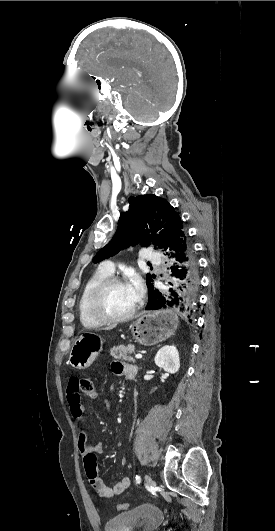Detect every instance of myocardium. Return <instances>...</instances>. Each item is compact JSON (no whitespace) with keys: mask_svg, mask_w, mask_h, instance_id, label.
Segmentation results:
<instances>
[{"mask_svg":"<svg viewBox=\"0 0 275 531\" xmlns=\"http://www.w3.org/2000/svg\"><path fill=\"white\" fill-rule=\"evenodd\" d=\"M125 281V278L123 276H117V275H109L106 278H104L101 282H99L95 288L90 293L88 299H87V312L93 319L101 322V323H120L129 320L133 315L136 313L138 309V305L140 302V299L138 298L134 304V306L131 308V310L122 316H111L107 313H105L100 306L101 299L106 292V290L119 282Z\"/></svg>","mask_w":275,"mask_h":531,"instance_id":"f54148a6","label":"myocardium"}]
</instances>
